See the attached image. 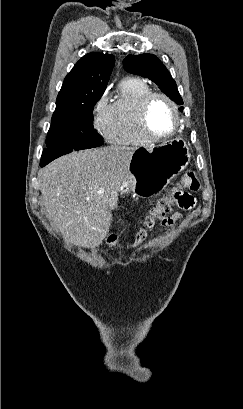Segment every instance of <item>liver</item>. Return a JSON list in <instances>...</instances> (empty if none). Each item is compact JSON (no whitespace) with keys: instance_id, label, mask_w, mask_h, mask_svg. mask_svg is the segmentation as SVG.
Wrapping results in <instances>:
<instances>
[{"instance_id":"6515ba94","label":"liver","mask_w":243,"mask_h":409,"mask_svg":"<svg viewBox=\"0 0 243 409\" xmlns=\"http://www.w3.org/2000/svg\"><path fill=\"white\" fill-rule=\"evenodd\" d=\"M135 150L107 146L72 152L39 170L42 204L65 239L85 248L101 244Z\"/></svg>"}]
</instances>
